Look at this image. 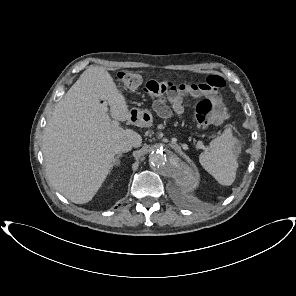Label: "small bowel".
<instances>
[{"label":"small bowel","mask_w":296,"mask_h":296,"mask_svg":"<svg viewBox=\"0 0 296 296\" xmlns=\"http://www.w3.org/2000/svg\"><path fill=\"white\" fill-rule=\"evenodd\" d=\"M224 85V81L220 77L211 76L204 82L192 84L191 87L181 89L168 81H148L145 90L150 95H155L154 107L156 112L162 117H170L172 115H181L183 112V99L186 95L193 98L209 96L218 100L217 90ZM157 87V90L153 88Z\"/></svg>","instance_id":"c3829d8e"}]
</instances>
